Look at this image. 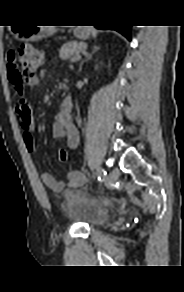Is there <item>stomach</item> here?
Here are the masks:
<instances>
[{
    "label": "stomach",
    "instance_id": "obj_1",
    "mask_svg": "<svg viewBox=\"0 0 184 292\" xmlns=\"http://www.w3.org/2000/svg\"><path fill=\"white\" fill-rule=\"evenodd\" d=\"M47 32L48 30L44 27L30 26L15 33L16 37L20 38L21 40L32 41L44 37ZM75 36L79 39L85 40L89 37V31L86 28H77L75 30Z\"/></svg>",
    "mask_w": 184,
    "mask_h": 292
}]
</instances>
